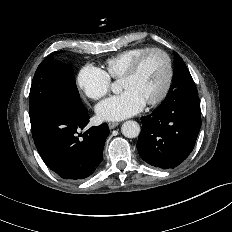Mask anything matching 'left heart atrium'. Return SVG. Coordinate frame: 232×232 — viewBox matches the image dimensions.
I'll return each mask as SVG.
<instances>
[{
	"label": "left heart atrium",
	"mask_w": 232,
	"mask_h": 232,
	"mask_svg": "<svg viewBox=\"0 0 232 232\" xmlns=\"http://www.w3.org/2000/svg\"><path fill=\"white\" fill-rule=\"evenodd\" d=\"M145 102L134 92L125 90L121 94L110 97L96 107L101 120L118 121L131 117L140 112Z\"/></svg>",
	"instance_id": "obj_1"
}]
</instances>
